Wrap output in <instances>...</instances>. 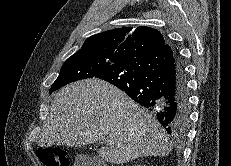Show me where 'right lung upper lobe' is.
I'll use <instances>...</instances> for the list:
<instances>
[{
  "label": "right lung upper lobe",
  "mask_w": 231,
  "mask_h": 166,
  "mask_svg": "<svg viewBox=\"0 0 231 166\" xmlns=\"http://www.w3.org/2000/svg\"><path fill=\"white\" fill-rule=\"evenodd\" d=\"M164 45L166 42L156 29L146 26L135 29L124 27L89 37L80 50H95L106 55L121 57L124 61L150 53Z\"/></svg>",
  "instance_id": "1"
}]
</instances>
